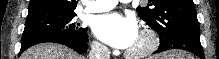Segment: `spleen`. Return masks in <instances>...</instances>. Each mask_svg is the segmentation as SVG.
Returning a JSON list of instances; mask_svg holds the SVG:
<instances>
[{
	"label": "spleen",
	"mask_w": 219,
	"mask_h": 59,
	"mask_svg": "<svg viewBox=\"0 0 219 59\" xmlns=\"http://www.w3.org/2000/svg\"><path fill=\"white\" fill-rule=\"evenodd\" d=\"M172 59H190L189 56H187L185 53L180 52V53H175L174 56L171 57Z\"/></svg>",
	"instance_id": "1"
}]
</instances>
